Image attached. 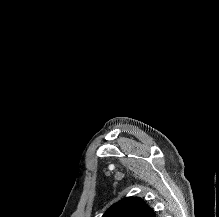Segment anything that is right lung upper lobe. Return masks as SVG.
I'll list each match as a JSON object with an SVG mask.
<instances>
[{
	"mask_svg": "<svg viewBox=\"0 0 219 217\" xmlns=\"http://www.w3.org/2000/svg\"><path fill=\"white\" fill-rule=\"evenodd\" d=\"M102 217H155V214L139 197H128L112 205Z\"/></svg>",
	"mask_w": 219,
	"mask_h": 217,
	"instance_id": "right-lung-upper-lobe-1",
	"label": "right lung upper lobe"
}]
</instances>
